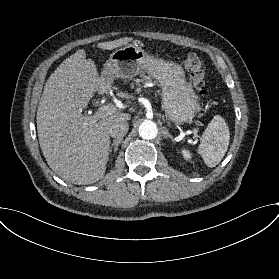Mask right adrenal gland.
<instances>
[{
  "instance_id": "right-adrenal-gland-1",
  "label": "right adrenal gland",
  "mask_w": 279,
  "mask_h": 279,
  "mask_svg": "<svg viewBox=\"0 0 279 279\" xmlns=\"http://www.w3.org/2000/svg\"><path fill=\"white\" fill-rule=\"evenodd\" d=\"M121 142H122V138H120V139H118V140H114V141L111 143V145H110L108 151H109V152H112V148L114 147V152H117L118 146H119V144H121Z\"/></svg>"
}]
</instances>
